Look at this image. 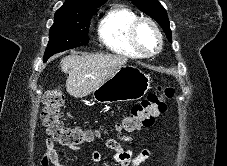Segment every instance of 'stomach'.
<instances>
[{
    "instance_id": "1",
    "label": "stomach",
    "mask_w": 227,
    "mask_h": 166,
    "mask_svg": "<svg viewBox=\"0 0 227 166\" xmlns=\"http://www.w3.org/2000/svg\"><path fill=\"white\" fill-rule=\"evenodd\" d=\"M150 76L132 65H124L93 91L98 103L136 101L150 90Z\"/></svg>"
}]
</instances>
